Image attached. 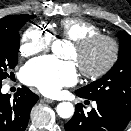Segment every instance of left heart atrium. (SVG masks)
Returning <instances> with one entry per match:
<instances>
[{"instance_id": "obj_1", "label": "left heart atrium", "mask_w": 131, "mask_h": 131, "mask_svg": "<svg viewBox=\"0 0 131 131\" xmlns=\"http://www.w3.org/2000/svg\"><path fill=\"white\" fill-rule=\"evenodd\" d=\"M22 77L26 83L50 96L57 94L64 86L75 84L78 78L74 62L60 61L52 56L31 60Z\"/></svg>"}]
</instances>
